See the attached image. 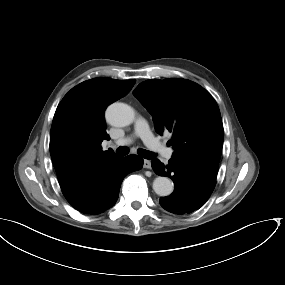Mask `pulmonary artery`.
Segmentation results:
<instances>
[{
    "label": "pulmonary artery",
    "instance_id": "e3ab8cb5",
    "mask_svg": "<svg viewBox=\"0 0 285 285\" xmlns=\"http://www.w3.org/2000/svg\"><path fill=\"white\" fill-rule=\"evenodd\" d=\"M135 133L140 136L146 146L151 150L158 151L166 160H170L174 156V149L165 146V144L155 137L149 129V126L144 120H138L135 123ZM130 142L129 138L117 140L113 143L114 146L125 145Z\"/></svg>",
    "mask_w": 285,
    "mask_h": 285
}]
</instances>
